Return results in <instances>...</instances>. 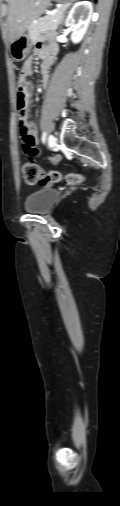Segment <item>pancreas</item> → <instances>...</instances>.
Here are the masks:
<instances>
[{
    "mask_svg": "<svg viewBox=\"0 0 120 506\" xmlns=\"http://www.w3.org/2000/svg\"><path fill=\"white\" fill-rule=\"evenodd\" d=\"M63 10L64 8L59 9L54 15L45 16L38 19L36 23H31L28 27V32L32 41H35L41 33L55 31L63 14Z\"/></svg>",
    "mask_w": 120,
    "mask_h": 506,
    "instance_id": "cf45deb5",
    "label": "pancreas"
}]
</instances>
